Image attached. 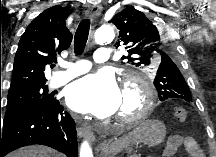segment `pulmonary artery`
<instances>
[{
    "label": "pulmonary artery",
    "instance_id": "1",
    "mask_svg": "<svg viewBox=\"0 0 216 157\" xmlns=\"http://www.w3.org/2000/svg\"><path fill=\"white\" fill-rule=\"evenodd\" d=\"M93 59L98 63L108 62L110 59L109 49L107 47L98 48L93 54ZM63 67V71L57 72L52 76L49 82L51 87L64 85L73 78L88 72L91 68V63L87 60H79L77 62H67Z\"/></svg>",
    "mask_w": 216,
    "mask_h": 157
}]
</instances>
